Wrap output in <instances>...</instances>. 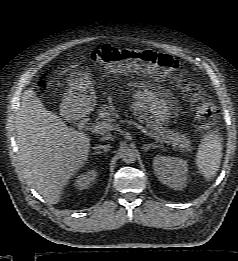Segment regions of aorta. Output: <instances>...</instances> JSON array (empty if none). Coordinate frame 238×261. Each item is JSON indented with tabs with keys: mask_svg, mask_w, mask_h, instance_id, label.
<instances>
[{
	"mask_svg": "<svg viewBox=\"0 0 238 261\" xmlns=\"http://www.w3.org/2000/svg\"><path fill=\"white\" fill-rule=\"evenodd\" d=\"M137 154L132 148H125L121 151V159L126 164H132L136 161Z\"/></svg>",
	"mask_w": 238,
	"mask_h": 261,
	"instance_id": "aorta-1",
	"label": "aorta"
}]
</instances>
